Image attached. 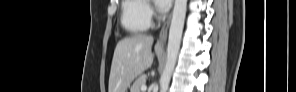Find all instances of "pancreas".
Listing matches in <instances>:
<instances>
[{
	"instance_id": "1",
	"label": "pancreas",
	"mask_w": 296,
	"mask_h": 92,
	"mask_svg": "<svg viewBox=\"0 0 296 92\" xmlns=\"http://www.w3.org/2000/svg\"><path fill=\"white\" fill-rule=\"evenodd\" d=\"M147 76L146 75H140L133 83V86L131 88V92H141V86L145 85Z\"/></svg>"
}]
</instances>
